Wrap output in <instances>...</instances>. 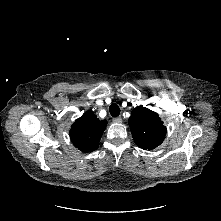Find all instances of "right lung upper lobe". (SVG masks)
<instances>
[{
  "label": "right lung upper lobe",
  "instance_id": "1",
  "mask_svg": "<svg viewBox=\"0 0 221 221\" xmlns=\"http://www.w3.org/2000/svg\"><path fill=\"white\" fill-rule=\"evenodd\" d=\"M106 125V120H99L91 110H88L71 126V141L82 152H92L98 148Z\"/></svg>",
  "mask_w": 221,
  "mask_h": 221
}]
</instances>
